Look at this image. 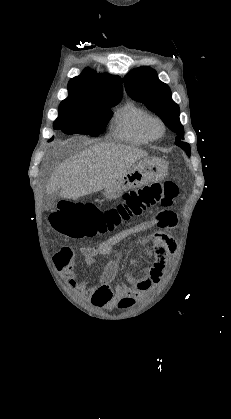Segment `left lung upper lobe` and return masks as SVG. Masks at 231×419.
<instances>
[{"label": "left lung upper lobe", "mask_w": 231, "mask_h": 419, "mask_svg": "<svg viewBox=\"0 0 231 419\" xmlns=\"http://www.w3.org/2000/svg\"><path fill=\"white\" fill-rule=\"evenodd\" d=\"M124 84L129 96L156 113L165 125L177 134L175 144L190 156V146L184 140V128L180 123L179 106L171 98L169 86L158 79L157 73L150 67L133 69L124 77Z\"/></svg>", "instance_id": "obj_1"}]
</instances>
